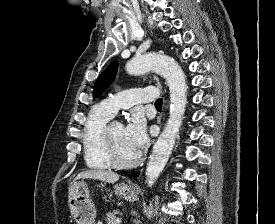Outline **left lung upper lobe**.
<instances>
[{"label":"left lung upper lobe","instance_id":"obj_1","mask_svg":"<svg viewBox=\"0 0 275 224\" xmlns=\"http://www.w3.org/2000/svg\"><path fill=\"white\" fill-rule=\"evenodd\" d=\"M118 69V61H112L100 75L94 85L93 95L99 97L114 81Z\"/></svg>","mask_w":275,"mask_h":224}]
</instances>
